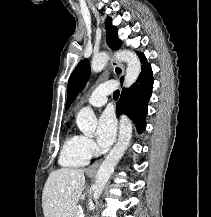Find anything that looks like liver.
Masks as SVG:
<instances>
[{"label":"liver","instance_id":"liver-1","mask_svg":"<svg viewBox=\"0 0 211 217\" xmlns=\"http://www.w3.org/2000/svg\"><path fill=\"white\" fill-rule=\"evenodd\" d=\"M84 184L83 169L61 168L51 172L42 194L44 217H71Z\"/></svg>","mask_w":211,"mask_h":217}]
</instances>
